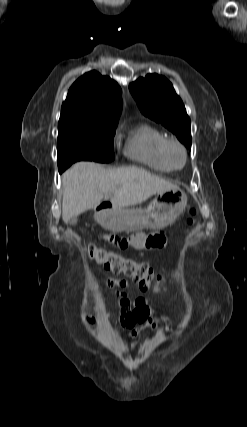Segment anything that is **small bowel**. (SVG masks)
I'll list each match as a JSON object with an SVG mask.
<instances>
[{"label":"small bowel","instance_id":"c3829d8e","mask_svg":"<svg viewBox=\"0 0 247 427\" xmlns=\"http://www.w3.org/2000/svg\"><path fill=\"white\" fill-rule=\"evenodd\" d=\"M107 243L116 250H125L130 243L136 248L161 249L166 245V238L162 233H137L130 237V240L119 236L116 232H109L106 235ZM108 286H118L122 290L116 291L119 297L118 305L120 307L119 324L131 331V336L136 337L148 328L156 329L157 322L153 316L151 308L147 301L142 298L130 300L123 291L128 283L125 280H108Z\"/></svg>","mask_w":247,"mask_h":427}]
</instances>
